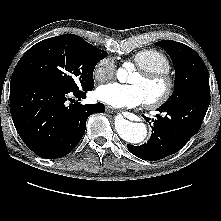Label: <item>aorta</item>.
Returning <instances> with one entry per match:
<instances>
[{
    "mask_svg": "<svg viewBox=\"0 0 221 221\" xmlns=\"http://www.w3.org/2000/svg\"><path fill=\"white\" fill-rule=\"evenodd\" d=\"M128 77V70L119 68L117 71V78L120 82H125ZM115 129L119 136L133 144L143 142L147 137V126L144 123L132 122L125 119L122 115L115 117Z\"/></svg>",
    "mask_w": 221,
    "mask_h": 221,
    "instance_id": "762f6f07",
    "label": "aorta"
}]
</instances>
